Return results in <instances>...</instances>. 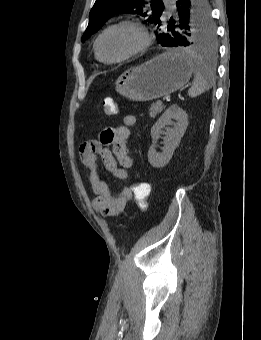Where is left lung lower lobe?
Listing matches in <instances>:
<instances>
[{
  "label": "left lung lower lobe",
  "mask_w": 261,
  "mask_h": 340,
  "mask_svg": "<svg viewBox=\"0 0 261 340\" xmlns=\"http://www.w3.org/2000/svg\"><path fill=\"white\" fill-rule=\"evenodd\" d=\"M191 1L192 0H177L176 7H177L178 16L174 19L170 18L168 21L170 23H179L180 18L188 14L190 7H191ZM177 45H178V40L174 36L173 37L168 36L164 39L162 46L177 47Z\"/></svg>",
  "instance_id": "1"
}]
</instances>
